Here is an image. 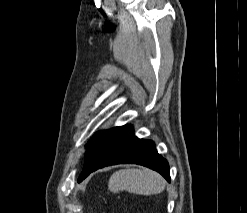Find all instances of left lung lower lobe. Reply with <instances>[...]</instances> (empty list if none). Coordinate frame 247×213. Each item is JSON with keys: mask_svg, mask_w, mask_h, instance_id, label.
<instances>
[{"mask_svg": "<svg viewBox=\"0 0 247 213\" xmlns=\"http://www.w3.org/2000/svg\"><path fill=\"white\" fill-rule=\"evenodd\" d=\"M115 164L143 165L170 181L168 162L158 154L154 142L135 137L129 125L105 131L89 146L79 180L99 168Z\"/></svg>", "mask_w": 247, "mask_h": 213, "instance_id": "0a47b994", "label": "left lung lower lobe"}]
</instances>
